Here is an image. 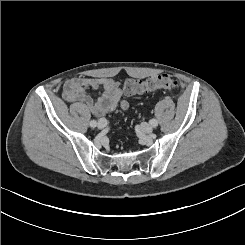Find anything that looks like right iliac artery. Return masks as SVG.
Returning <instances> with one entry per match:
<instances>
[{
  "label": "right iliac artery",
  "instance_id": "82829eb1",
  "mask_svg": "<svg viewBox=\"0 0 245 245\" xmlns=\"http://www.w3.org/2000/svg\"><path fill=\"white\" fill-rule=\"evenodd\" d=\"M90 126L95 128L97 126V122L95 120L90 121Z\"/></svg>",
  "mask_w": 245,
  "mask_h": 245
}]
</instances>
